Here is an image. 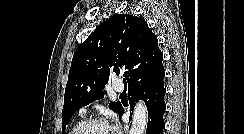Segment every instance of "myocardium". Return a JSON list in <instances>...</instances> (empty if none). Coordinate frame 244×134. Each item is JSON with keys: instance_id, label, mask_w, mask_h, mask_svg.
Returning a JSON list of instances; mask_svg holds the SVG:
<instances>
[{"instance_id": "f54148a6", "label": "myocardium", "mask_w": 244, "mask_h": 134, "mask_svg": "<svg viewBox=\"0 0 244 134\" xmlns=\"http://www.w3.org/2000/svg\"><path fill=\"white\" fill-rule=\"evenodd\" d=\"M95 125H106L109 126L108 122L101 118H92L84 121L76 130L75 134H85L88 129Z\"/></svg>"}]
</instances>
